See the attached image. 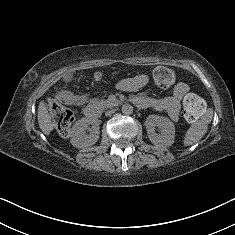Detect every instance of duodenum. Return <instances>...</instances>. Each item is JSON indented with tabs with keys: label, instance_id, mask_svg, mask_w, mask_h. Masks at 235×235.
<instances>
[{
	"label": "duodenum",
	"instance_id": "1",
	"mask_svg": "<svg viewBox=\"0 0 235 235\" xmlns=\"http://www.w3.org/2000/svg\"><path fill=\"white\" fill-rule=\"evenodd\" d=\"M85 113L88 118H97L100 114L99 109L94 105H87Z\"/></svg>",
	"mask_w": 235,
	"mask_h": 235
}]
</instances>
